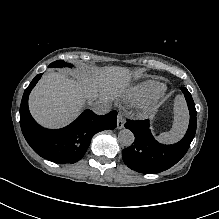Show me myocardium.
Returning a JSON list of instances; mask_svg holds the SVG:
<instances>
[{"label": "myocardium", "mask_w": 219, "mask_h": 219, "mask_svg": "<svg viewBox=\"0 0 219 219\" xmlns=\"http://www.w3.org/2000/svg\"><path fill=\"white\" fill-rule=\"evenodd\" d=\"M164 95H165V89H164V88H160V89L156 92L155 98H156V99H159V98L163 97Z\"/></svg>", "instance_id": "obj_1"}]
</instances>
